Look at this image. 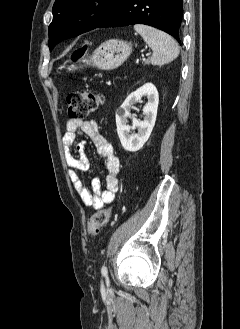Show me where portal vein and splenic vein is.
I'll return each instance as SVG.
<instances>
[{
  "label": "portal vein and splenic vein",
  "mask_w": 240,
  "mask_h": 329,
  "mask_svg": "<svg viewBox=\"0 0 240 329\" xmlns=\"http://www.w3.org/2000/svg\"><path fill=\"white\" fill-rule=\"evenodd\" d=\"M150 55V53H148V54H146V56H149ZM146 59H145V57H143V61H145Z\"/></svg>",
  "instance_id": "18ae733b"
}]
</instances>
